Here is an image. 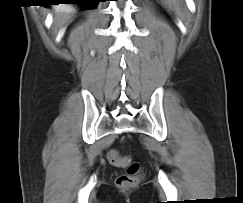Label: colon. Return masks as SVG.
Segmentation results:
<instances>
[{
	"instance_id": "1",
	"label": "colon",
	"mask_w": 243,
	"mask_h": 203,
	"mask_svg": "<svg viewBox=\"0 0 243 203\" xmlns=\"http://www.w3.org/2000/svg\"><path fill=\"white\" fill-rule=\"evenodd\" d=\"M108 159L112 164L120 167H126V173L117 177L116 184L122 189L132 188L140 181V166L137 163H131L128 157L121 156L118 151L111 150L108 153Z\"/></svg>"
}]
</instances>
